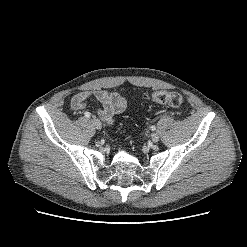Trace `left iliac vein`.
<instances>
[{
	"label": "left iliac vein",
	"instance_id": "4c4485c4",
	"mask_svg": "<svg viewBox=\"0 0 247 247\" xmlns=\"http://www.w3.org/2000/svg\"><path fill=\"white\" fill-rule=\"evenodd\" d=\"M159 134L158 133H153L152 135H151V139H152V141L153 142H158L159 141Z\"/></svg>",
	"mask_w": 247,
	"mask_h": 247
}]
</instances>
